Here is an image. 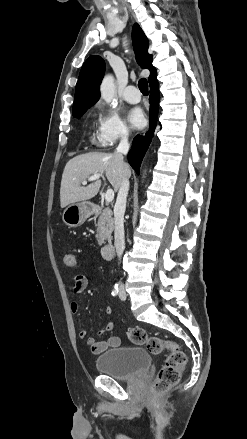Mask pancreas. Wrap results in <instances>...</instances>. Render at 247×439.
I'll return each instance as SVG.
<instances>
[{
  "label": "pancreas",
  "mask_w": 247,
  "mask_h": 439,
  "mask_svg": "<svg viewBox=\"0 0 247 439\" xmlns=\"http://www.w3.org/2000/svg\"><path fill=\"white\" fill-rule=\"evenodd\" d=\"M96 228V239L100 246L103 245L105 241L111 242V234L113 231V218L112 211L109 208H104L100 213Z\"/></svg>",
  "instance_id": "cf45deb5"
}]
</instances>
